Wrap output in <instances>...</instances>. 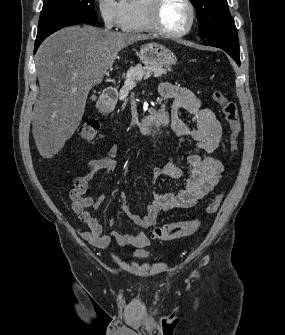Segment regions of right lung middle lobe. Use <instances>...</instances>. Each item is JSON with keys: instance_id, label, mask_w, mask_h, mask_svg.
Listing matches in <instances>:
<instances>
[{"instance_id": "dd1d6c3e", "label": "right lung middle lobe", "mask_w": 285, "mask_h": 335, "mask_svg": "<svg viewBox=\"0 0 285 335\" xmlns=\"http://www.w3.org/2000/svg\"><path fill=\"white\" fill-rule=\"evenodd\" d=\"M95 0H44L38 33L65 21L96 22Z\"/></svg>"}]
</instances>
